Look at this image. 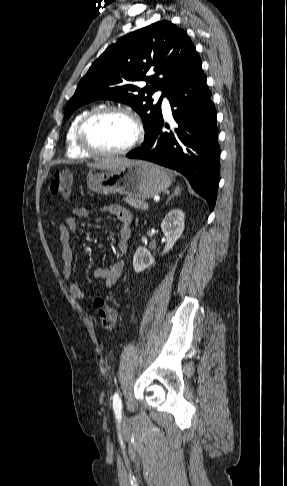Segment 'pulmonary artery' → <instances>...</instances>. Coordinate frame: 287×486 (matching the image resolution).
<instances>
[{
  "label": "pulmonary artery",
  "instance_id": "pulmonary-artery-1",
  "mask_svg": "<svg viewBox=\"0 0 287 486\" xmlns=\"http://www.w3.org/2000/svg\"><path fill=\"white\" fill-rule=\"evenodd\" d=\"M161 94H162L161 92H157L156 93V97H160ZM162 107H163L164 112L166 114H169V112H170V105H169V101L167 100L166 97L163 98Z\"/></svg>",
  "mask_w": 287,
  "mask_h": 486
}]
</instances>
